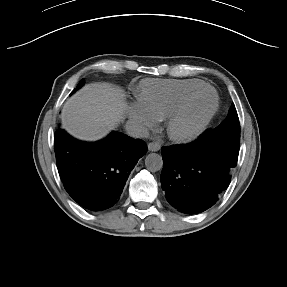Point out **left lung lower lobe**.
Here are the masks:
<instances>
[{"label": "left lung lower lobe", "instance_id": "0a47b994", "mask_svg": "<svg viewBox=\"0 0 287 287\" xmlns=\"http://www.w3.org/2000/svg\"><path fill=\"white\" fill-rule=\"evenodd\" d=\"M240 143L205 131L185 145L162 147L161 186L167 201L187 214L210 208L227 189Z\"/></svg>", "mask_w": 287, "mask_h": 287}]
</instances>
